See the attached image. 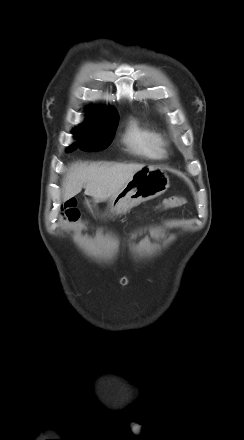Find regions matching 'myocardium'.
Masks as SVG:
<instances>
[{"label": "myocardium", "mask_w": 244, "mask_h": 440, "mask_svg": "<svg viewBox=\"0 0 244 440\" xmlns=\"http://www.w3.org/2000/svg\"><path fill=\"white\" fill-rule=\"evenodd\" d=\"M157 143H158V146H159L163 151H164V150L168 147V145H169L168 141H167L165 138L161 137V136H158V138H157Z\"/></svg>", "instance_id": "obj_1"}]
</instances>
